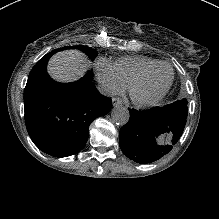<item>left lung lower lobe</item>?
Wrapping results in <instances>:
<instances>
[{"label":"left lung lower lobe","mask_w":219,"mask_h":219,"mask_svg":"<svg viewBox=\"0 0 219 219\" xmlns=\"http://www.w3.org/2000/svg\"><path fill=\"white\" fill-rule=\"evenodd\" d=\"M129 112L119 144L123 153L138 163H151L167 154L181 137L187 118L161 107Z\"/></svg>","instance_id":"left-lung-lower-lobe-1"}]
</instances>
